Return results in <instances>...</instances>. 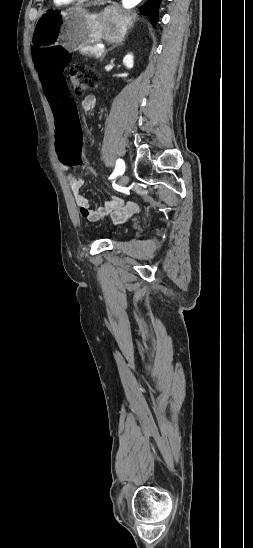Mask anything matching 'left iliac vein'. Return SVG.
Here are the masks:
<instances>
[{"instance_id": "obj_1", "label": "left iliac vein", "mask_w": 253, "mask_h": 548, "mask_svg": "<svg viewBox=\"0 0 253 548\" xmlns=\"http://www.w3.org/2000/svg\"><path fill=\"white\" fill-rule=\"evenodd\" d=\"M128 182H129V177L127 175H123L119 180V185L124 187L128 184Z\"/></svg>"}]
</instances>
